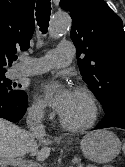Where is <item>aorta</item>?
Returning <instances> with one entry per match:
<instances>
[{"label": "aorta", "instance_id": "aorta-1", "mask_svg": "<svg viewBox=\"0 0 125 167\" xmlns=\"http://www.w3.org/2000/svg\"><path fill=\"white\" fill-rule=\"evenodd\" d=\"M71 26V19L66 13H57L51 20L49 35L51 38H59L65 34Z\"/></svg>", "mask_w": 125, "mask_h": 167}]
</instances>
